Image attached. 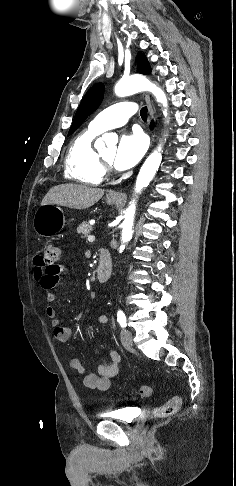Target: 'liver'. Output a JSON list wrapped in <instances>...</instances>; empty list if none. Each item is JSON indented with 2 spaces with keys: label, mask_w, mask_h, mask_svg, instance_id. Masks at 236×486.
Instances as JSON below:
<instances>
[{
  "label": "liver",
  "mask_w": 236,
  "mask_h": 486,
  "mask_svg": "<svg viewBox=\"0 0 236 486\" xmlns=\"http://www.w3.org/2000/svg\"><path fill=\"white\" fill-rule=\"evenodd\" d=\"M103 195V189L78 184H62L51 188L44 196L41 205L55 204L73 209H86L98 202Z\"/></svg>",
  "instance_id": "1"
}]
</instances>
